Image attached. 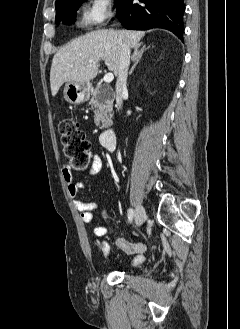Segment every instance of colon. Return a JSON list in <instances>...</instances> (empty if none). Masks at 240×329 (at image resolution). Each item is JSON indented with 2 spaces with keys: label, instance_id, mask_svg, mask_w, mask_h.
Listing matches in <instances>:
<instances>
[{
  "label": "colon",
  "instance_id": "1",
  "mask_svg": "<svg viewBox=\"0 0 240 329\" xmlns=\"http://www.w3.org/2000/svg\"><path fill=\"white\" fill-rule=\"evenodd\" d=\"M61 142L68 163L77 170H87L90 164L91 144L78 124L69 117L59 124Z\"/></svg>",
  "mask_w": 240,
  "mask_h": 329
}]
</instances>
